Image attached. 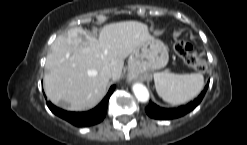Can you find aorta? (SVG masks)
<instances>
[{"mask_svg":"<svg viewBox=\"0 0 247 145\" xmlns=\"http://www.w3.org/2000/svg\"><path fill=\"white\" fill-rule=\"evenodd\" d=\"M132 90L138 101L147 102L149 100V91L143 84H133Z\"/></svg>","mask_w":247,"mask_h":145,"instance_id":"1","label":"aorta"}]
</instances>
